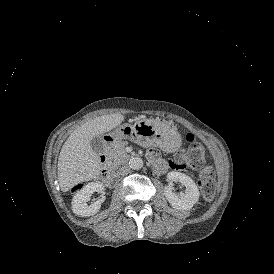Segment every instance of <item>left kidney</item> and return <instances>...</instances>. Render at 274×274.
I'll return each instance as SVG.
<instances>
[{"mask_svg": "<svg viewBox=\"0 0 274 274\" xmlns=\"http://www.w3.org/2000/svg\"><path fill=\"white\" fill-rule=\"evenodd\" d=\"M167 180L172 182H180L186 187L184 193L176 194L172 190V186L164 188V195L173 208L177 210H190L199 200V190L195 182L186 174L172 171L167 174Z\"/></svg>", "mask_w": 274, "mask_h": 274, "instance_id": "obj_1", "label": "left kidney"}]
</instances>
